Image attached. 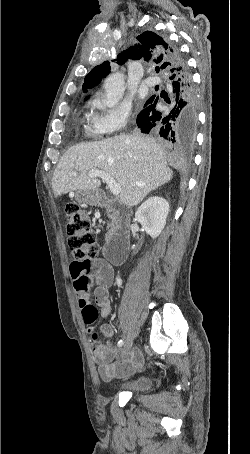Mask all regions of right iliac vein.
Wrapping results in <instances>:
<instances>
[{
    "label": "right iliac vein",
    "mask_w": 250,
    "mask_h": 454,
    "mask_svg": "<svg viewBox=\"0 0 250 454\" xmlns=\"http://www.w3.org/2000/svg\"><path fill=\"white\" fill-rule=\"evenodd\" d=\"M133 345V339L131 337H128L125 341L124 344V351H129Z\"/></svg>",
    "instance_id": "1"
}]
</instances>
